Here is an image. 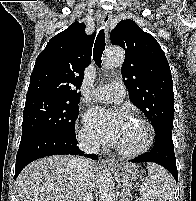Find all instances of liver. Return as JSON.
<instances>
[{"mask_svg":"<svg viewBox=\"0 0 196 201\" xmlns=\"http://www.w3.org/2000/svg\"><path fill=\"white\" fill-rule=\"evenodd\" d=\"M74 159L53 155L27 165L16 180L17 201H76ZM87 173L93 191L96 168L92 162Z\"/></svg>","mask_w":196,"mask_h":201,"instance_id":"6515ba94","label":"liver"}]
</instances>
